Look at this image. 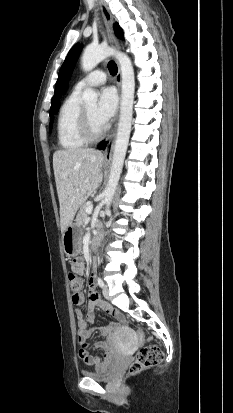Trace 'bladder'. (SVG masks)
<instances>
[{
    "mask_svg": "<svg viewBox=\"0 0 233 413\" xmlns=\"http://www.w3.org/2000/svg\"><path fill=\"white\" fill-rule=\"evenodd\" d=\"M82 374L96 381H109L113 378L114 371L111 367H106L96 371H83Z\"/></svg>",
    "mask_w": 233,
    "mask_h": 413,
    "instance_id": "bladder-1",
    "label": "bladder"
}]
</instances>
